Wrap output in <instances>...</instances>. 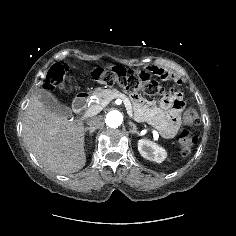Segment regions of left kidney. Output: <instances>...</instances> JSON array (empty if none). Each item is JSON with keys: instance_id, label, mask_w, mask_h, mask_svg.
I'll return each instance as SVG.
<instances>
[{"instance_id": "left-kidney-1", "label": "left kidney", "mask_w": 236, "mask_h": 236, "mask_svg": "<svg viewBox=\"0 0 236 236\" xmlns=\"http://www.w3.org/2000/svg\"><path fill=\"white\" fill-rule=\"evenodd\" d=\"M138 150L142 157L157 163L163 162L167 157V152L164 148L146 139L138 141Z\"/></svg>"}]
</instances>
